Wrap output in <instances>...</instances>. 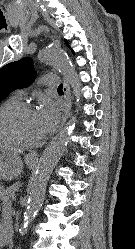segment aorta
Returning a JSON list of instances; mask_svg holds the SVG:
<instances>
[{
	"label": "aorta",
	"instance_id": "1",
	"mask_svg": "<svg viewBox=\"0 0 135 249\" xmlns=\"http://www.w3.org/2000/svg\"><path fill=\"white\" fill-rule=\"evenodd\" d=\"M39 57L44 63L50 64L61 70L69 81L75 97L79 100L81 96V83L77 72L66 53L59 47L49 46L39 52ZM74 127L75 116H72L63 130L53 138L40 157L36 171L29 182L27 208L24 212L23 223L19 229L21 236L26 233L28 224L34 219L42 205L47 182L54 167L57 165L67 147L70 134Z\"/></svg>",
	"mask_w": 135,
	"mask_h": 249
}]
</instances>
